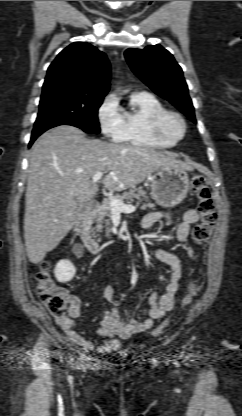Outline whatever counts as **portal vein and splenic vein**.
Segmentation results:
<instances>
[{
    "instance_id": "1",
    "label": "portal vein and splenic vein",
    "mask_w": 242,
    "mask_h": 416,
    "mask_svg": "<svg viewBox=\"0 0 242 416\" xmlns=\"http://www.w3.org/2000/svg\"><path fill=\"white\" fill-rule=\"evenodd\" d=\"M103 177V172H97L92 177V182L96 183ZM110 206L112 210L115 212H133L135 211V207L133 205L124 204L121 200L113 198L110 200Z\"/></svg>"
}]
</instances>
